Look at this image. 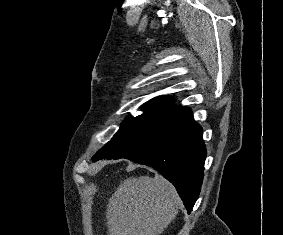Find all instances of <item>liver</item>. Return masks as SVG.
I'll return each mask as SVG.
<instances>
[{"mask_svg":"<svg viewBox=\"0 0 283 235\" xmlns=\"http://www.w3.org/2000/svg\"><path fill=\"white\" fill-rule=\"evenodd\" d=\"M179 203L175 187L161 176L127 178L109 199L108 235H160Z\"/></svg>","mask_w":283,"mask_h":235,"instance_id":"1","label":"liver"}]
</instances>
